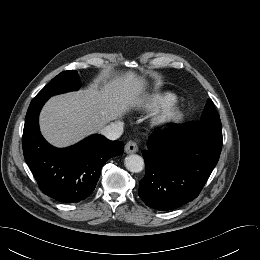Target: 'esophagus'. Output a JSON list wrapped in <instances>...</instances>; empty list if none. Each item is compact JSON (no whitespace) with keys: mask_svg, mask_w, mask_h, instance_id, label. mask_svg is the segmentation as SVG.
Segmentation results:
<instances>
[{"mask_svg":"<svg viewBox=\"0 0 260 260\" xmlns=\"http://www.w3.org/2000/svg\"><path fill=\"white\" fill-rule=\"evenodd\" d=\"M138 151V146L135 142L129 141L125 145V152L127 154L136 153Z\"/></svg>","mask_w":260,"mask_h":260,"instance_id":"esophagus-1","label":"esophagus"}]
</instances>
